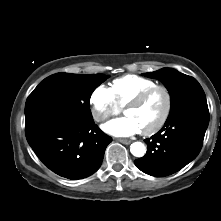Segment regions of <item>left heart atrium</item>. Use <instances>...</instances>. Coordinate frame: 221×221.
Masks as SVG:
<instances>
[{
  "instance_id": "left-heart-atrium-1",
  "label": "left heart atrium",
  "mask_w": 221,
  "mask_h": 221,
  "mask_svg": "<svg viewBox=\"0 0 221 221\" xmlns=\"http://www.w3.org/2000/svg\"><path fill=\"white\" fill-rule=\"evenodd\" d=\"M102 128L105 132L119 137L130 136L141 130L136 121L129 116L113 119Z\"/></svg>"
}]
</instances>
